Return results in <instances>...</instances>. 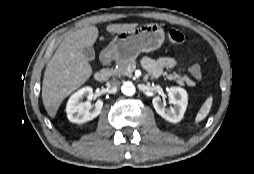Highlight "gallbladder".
<instances>
[{"label":"gallbladder","mask_w":254,"mask_h":174,"mask_svg":"<svg viewBox=\"0 0 254 174\" xmlns=\"http://www.w3.org/2000/svg\"><path fill=\"white\" fill-rule=\"evenodd\" d=\"M81 51L87 60L93 61L95 59V51L91 46H86Z\"/></svg>","instance_id":"1"}]
</instances>
